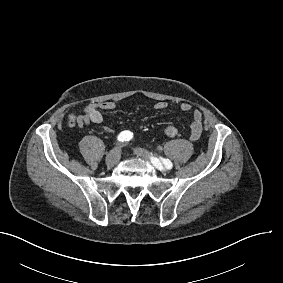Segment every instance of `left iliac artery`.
Masks as SVG:
<instances>
[{"label":"left iliac artery","instance_id":"obj_1","mask_svg":"<svg viewBox=\"0 0 283 283\" xmlns=\"http://www.w3.org/2000/svg\"><path fill=\"white\" fill-rule=\"evenodd\" d=\"M161 160L163 161L166 168L171 169L173 167V164L169 159L161 158ZM152 163L154 164V166H158L161 162L155 158V159H152Z\"/></svg>","mask_w":283,"mask_h":283}]
</instances>
